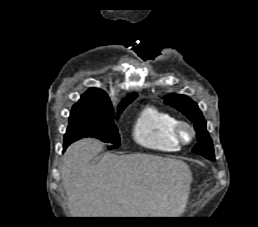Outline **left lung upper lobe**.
<instances>
[{"label":"left lung upper lobe","instance_id":"1","mask_svg":"<svg viewBox=\"0 0 258 227\" xmlns=\"http://www.w3.org/2000/svg\"><path fill=\"white\" fill-rule=\"evenodd\" d=\"M164 100L166 104L182 112L194 123L198 143L192 151L208 159L214 160L213 143L206 130V121L198 108V105L185 95L170 94L166 96Z\"/></svg>","mask_w":258,"mask_h":227}]
</instances>
